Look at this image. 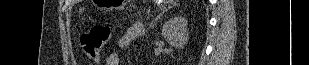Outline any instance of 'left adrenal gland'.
<instances>
[{"label":"left adrenal gland","instance_id":"a2214340","mask_svg":"<svg viewBox=\"0 0 309 65\" xmlns=\"http://www.w3.org/2000/svg\"><path fill=\"white\" fill-rule=\"evenodd\" d=\"M159 18H160V16H159ZM158 20V17L155 19V21H157Z\"/></svg>","mask_w":309,"mask_h":65}]
</instances>
